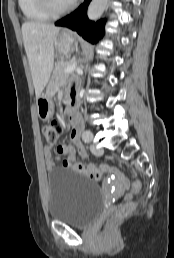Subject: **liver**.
Segmentation results:
<instances>
[{"instance_id": "liver-1", "label": "liver", "mask_w": 174, "mask_h": 258, "mask_svg": "<svg viewBox=\"0 0 174 258\" xmlns=\"http://www.w3.org/2000/svg\"><path fill=\"white\" fill-rule=\"evenodd\" d=\"M59 31V27L45 23L25 22L22 25V37L36 98L50 79L54 63V45Z\"/></svg>"}]
</instances>
